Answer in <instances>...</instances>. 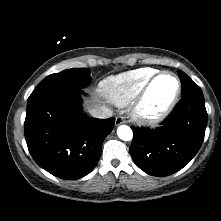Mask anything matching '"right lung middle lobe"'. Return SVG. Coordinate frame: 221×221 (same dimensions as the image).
Listing matches in <instances>:
<instances>
[{
  "label": "right lung middle lobe",
  "mask_w": 221,
  "mask_h": 221,
  "mask_svg": "<svg viewBox=\"0 0 221 221\" xmlns=\"http://www.w3.org/2000/svg\"><path fill=\"white\" fill-rule=\"evenodd\" d=\"M91 83L90 70L86 68H73L55 73L43 79L34 89L28 101L46 93L69 88H83Z\"/></svg>",
  "instance_id": "dd1d6c3e"
}]
</instances>
